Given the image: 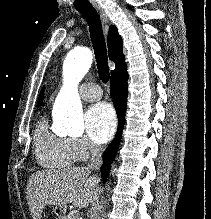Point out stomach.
<instances>
[{"instance_id":"obj_1","label":"stomach","mask_w":211,"mask_h":219,"mask_svg":"<svg viewBox=\"0 0 211 219\" xmlns=\"http://www.w3.org/2000/svg\"><path fill=\"white\" fill-rule=\"evenodd\" d=\"M53 212L60 217V219H62L64 217L65 214V209L59 206H55L53 207Z\"/></svg>"}]
</instances>
